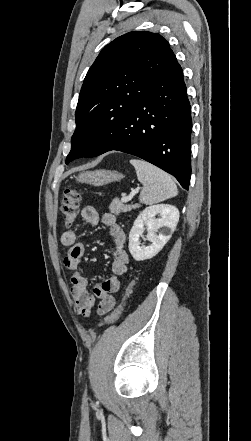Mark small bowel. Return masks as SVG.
I'll use <instances>...</instances> for the list:
<instances>
[{"label": "small bowel", "instance_id": "1", "mask_svg": "<svg viewBox=\"0 0 251 441\" xmlns=\"http://www.w3.org/2000/svg\"><path fill=\"white\" fill-rule=\"evenodd\" d=\"M81 217L92 226L101 222L108 227L114 243V255L111 263L113 275L103 282L96 284L92 292L88 291L89 282L81 268V259L85 254V246L82 242L78 241L77 234L73 230L63 232L60 238L61 244L68 248L67 255L64 258V265L72 271L71 294L78 313L84 317H89L94 308L95 301L98 299L97 313L103 315L114 308L115 298L113 294L120 290V277L128 269L129 257L125 249L126 236L112 213H104L99 217L97 210L93 206H85L81 210Z\"/></svg>", "mask_w": 251, "mask_h": 441}]
</instances>
